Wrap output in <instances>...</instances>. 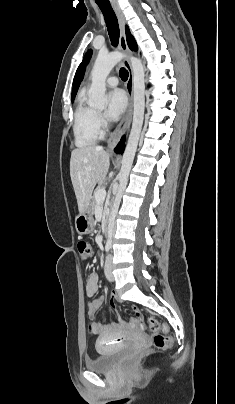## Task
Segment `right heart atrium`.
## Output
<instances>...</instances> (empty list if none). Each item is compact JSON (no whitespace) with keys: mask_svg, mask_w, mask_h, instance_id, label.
<instances>
[{"mask_svg":"<svg viewBox=\"0 0 235 404\" xmlns=\"http://www.w3.org/2000/svg\"><path fill=\"white\" fill-rule=\"evenodd\" d=\"M97 122L100 128H103L106 126V120L104 115L101 112H97Z\"/></svg>","mask_w":235,"mask_h":404,"instance_id":"1","label":"right heart atrium"}]
</instances>
